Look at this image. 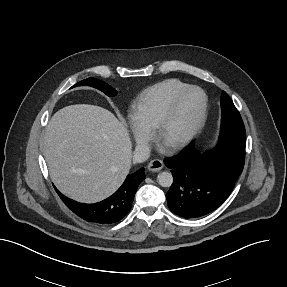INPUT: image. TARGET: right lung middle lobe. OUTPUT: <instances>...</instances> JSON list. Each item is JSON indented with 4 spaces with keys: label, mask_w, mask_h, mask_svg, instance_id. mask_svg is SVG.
I'll return each instance as SVG.
<instances>
[{
    "label": "right lung middle lobe",
    "mask_w": 287,
    "mask_h": 287,
    "mask_svg": "<svg viewBox=\"0 0 287 287\" xmlns=\"http://www.w3.org/2000/svg\"><path fill=\"white\" fill-rule=\"evenodd\" d=\"M82 85H88V86H92L94 88H97L99 89L100 91H102L103 93H105L107 96H115L117 94V91L112 88L110 85H108L107 83L101 81V80H98V79H95V78H88V79H85L79 83H77L75 86H82Z\"/></svg>",
    "instance_id": "obj_1"
}]
</instances>
